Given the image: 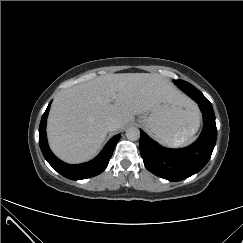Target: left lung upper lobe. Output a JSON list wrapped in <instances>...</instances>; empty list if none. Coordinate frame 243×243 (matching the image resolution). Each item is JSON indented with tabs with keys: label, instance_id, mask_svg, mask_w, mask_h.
I'll return each instance as SVG.
<instances>
[{
	"label": "left lung upper lobe",
	"instance_id": "obj_1",
	"mask_svg": "<svg viewBox=\"0 0 243 243\" xmlns=\"http://www.w3.org/2000/svg\"><path fill=\"white\" fill-rule=\"evenodd\" d=\"M173 82L178 86L180 84H185V83H188L186 81H183V80H173Z\"/></svg>",
	"mask_w": 243,
	"mask_h": 243
}]
</instances>
